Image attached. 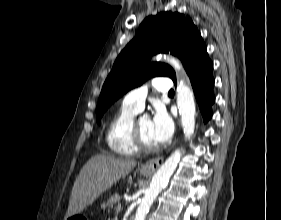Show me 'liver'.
<instances>
[{"label":"liver","instance_id":"liver-1","mask_svg":"<svg viewBox=\"0 0 281 220\" xmlns=\"http://www.w3.org/2000/svg\"><path fill=\"white\" fill-rule=\"evenodd\" d=\"M136 164L135 160L107 154L90 158L74 182L65 220L81 213L113 184L129 174Z\"/></svg>","mask_w":281,"mask_h":220}]
</instances>
